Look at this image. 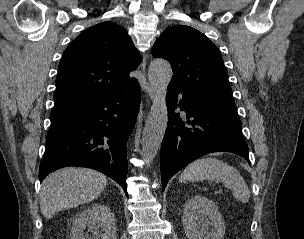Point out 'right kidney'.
Wrapping results in <instances>:
<instances>
[{"label": "right kidney", "mask_w": 304, "mask_h": 239, "mask_svg": "<svg viewBox=\"0 0 304 239\" xmlns=\"http://www.w3.org/2000/svg\"><path fill=\"white\" fill-rule=\"evenodd\" d=\"M86 227L87 232L84 231ZM70 239H116L114 214L101 204L86 208L75 216Z\"/></svg>", "instance_id": "1"}]
</instances>
